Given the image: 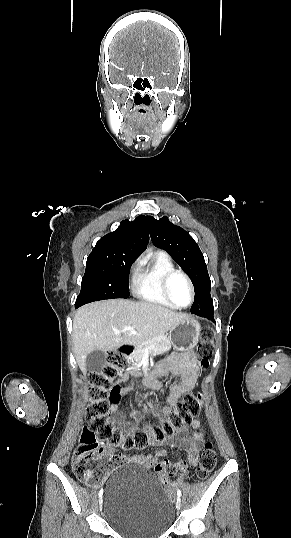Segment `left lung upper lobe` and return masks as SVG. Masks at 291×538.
Returning a JSON list of instances; mask_svg holds the SVG:
<instances>
[{
	"mask_svg": "<svg viewBox=\"0 0 291 538\" xmlns=\"http://www.w3.org/2000/svg\"><path fill=\"white\" fill-rule=\"evenodd\" d=\"M152 243L166 250L190 277L195 290L191 311L213 305L211 281L204 256L194 239L167 217L156 220L147 216Z\"/></svg>",
	"mask_w": 291,
	"mask_h": 538,
	"instance_id": "5c2ea615",
	"label": "left lung upper lobe"
}]
</instances>
